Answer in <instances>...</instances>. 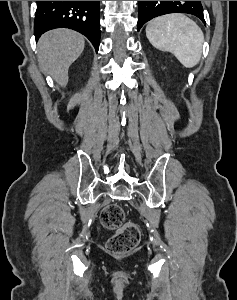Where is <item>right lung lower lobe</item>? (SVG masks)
I'll return each mask as SVG.
<instances>
[{"label":"right lung lower lobe","instance_id":"1","mask_svg":"<svg viewBox=\"0 0 237 300\" xmlns=\"http://www.w3.org/2000/svg\"><path fill=\"white\" fill-rule=\"evenodd\" d=\"M100 1H37L36 40L48 30L70 28L85 35L96 51L100 43Z\"/></svg>","mask_w":237,"mask_h":300}]
</instances>
